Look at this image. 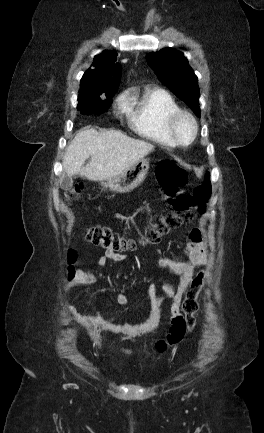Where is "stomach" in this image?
I'll return each instance as SVG.
<instances>
[{
	"instance_id": "obj_1",
	"label": "stomach",
	"mask_w": 264,
	"mask_h": 433,
	"mask_svg": "<svg viewBox=\"0 0 264 433\" xmlns=\"http://www.w3.org/2000/svg\"><path fill=\"white\" fill-rule=\"evenodd\" d=\"M149 170V160L142 158L123 174L104 180L100 183L102 190L127 193L139 186Z\"/></svg>"
}]
</instances>
